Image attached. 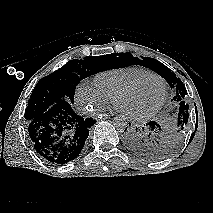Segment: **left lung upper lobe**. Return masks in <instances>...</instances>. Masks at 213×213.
<instances>
[{
    "label": "left lung upper lobe",
    "mask_w": 213,
    "mask_h": 213,
    "mask_svg": "<svg viewBox=\"0 0 213 213\" xmlns=\"http://www.w3.org/2000/svg\"><path fill=\"white\" fill-rule=\"evenodd\" d=\"M122 59L121 66L141 65L150 68L163 77L170 85L171 89L175 91L172 99V111L168 112L167 126L163 133L160 135L159 143L157 144L156 158H164L172 154L183 139L188 118H189V105L185 101L187 90L182 81L176 77L164 64L153 58L144 57L139 59L133 57L131 53L118 54Z\"/></svg>",
    "instance_id": "obj_1"
}]
</instances>
